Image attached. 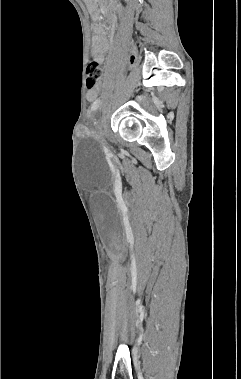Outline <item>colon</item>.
Listing matches in <instances>:
<instances>
[{
	"instance_id": "5ec220e1",
	"label": "colon",
	"mask_w": 241,
	"mask_h": 379,
	"mask_svg": "<svg viewBox=\"0 0 241 379\" xmlns=\"http://www.w3.org/2000/svg\"><path fill=\"white\" fill-rule=\"evenodd\" d=\"M95 30V28H94ZM139 45L133 44L129 47V53L127 58V65H136L138 62V56H139ZM101 75V68L97 60L90 59L87 66V86L89 88L94 87L97 80L99 79ZM96 93L99 97H102L104 95V88L102 85H99L96 88Z\"/></svg>"
}]
</instances>
